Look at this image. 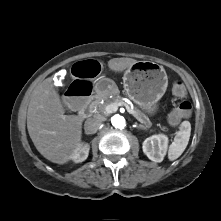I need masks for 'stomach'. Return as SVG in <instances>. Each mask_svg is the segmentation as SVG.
Listing matches in <instances>:
<instances>
[{
	"instance_id": "stomach-1",
	"label": "stomach",
	"mask_w": 221,
	"mask_h": 221,
	"mask_svg": "<svg viewBox=\"0 0 221 221\" xmlns=\"http://www.w3.org/2000/svg\"><path fill=\"white\" fill-rule=\"evenodd\" d=\"M123 84L129 98L152 115L157 111V103L167 89L168 78L161 65L137 61L125 71Z\"/></svg>"
}]
</instances>
